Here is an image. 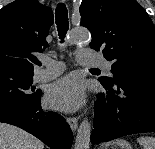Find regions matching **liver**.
I'll list each match as a JSON object with an SVG mask.
<instances>
[{"mask_svg": "<svg viewBox=\"0 0 155 149\" xmlns=\"http://www.w3.org/2000/svg\"><path fill=\"white\" fill-rule=\"evenodd\" d=\"M0 149H44V144L16 126L0 123Z\"/></svg>", "mask_w": 155, "mask_h": 149, "instance_id": "liver-1", "label": "liver"}]
</instances>
